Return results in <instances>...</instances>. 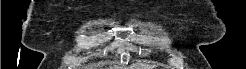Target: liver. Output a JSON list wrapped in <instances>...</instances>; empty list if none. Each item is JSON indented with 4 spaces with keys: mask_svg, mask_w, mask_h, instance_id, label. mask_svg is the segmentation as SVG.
I'll return each mask as SVG.
<instances>
[{
    "mask_svg": "<svg viewBox=\"0 0 246 69\" xmlns=\"http://www.w3.org/2000/svg\"><path fill=\"white\" fill-rule=\"evenodd\" d=\"M136 67H142V66H136ZM144 67H146V68H142V69H152L151 67L152 66H144ZM141 69V68H140Z\"/></svg>",
    "mask_w": 246,
    "mask_h": 69,
    "instance_id": "1",
    "label": "liver"
}]
</instances>
